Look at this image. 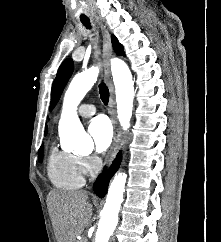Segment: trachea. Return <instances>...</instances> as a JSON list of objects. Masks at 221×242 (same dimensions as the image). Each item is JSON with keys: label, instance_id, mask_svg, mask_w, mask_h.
I'll return each instance as SVG.
<instances>
[{"label": "trachea", "instance_id": "obj_1", "mask_svg": "<svg viewBox=\"0 0 221 242\" xmlns=\"http://www.w3.org/2000/svg\"><path fill=\"white\" fill-rule=\"evenodd\" d=\"M81 22L83 23V25L90 29L91 26H90V21L89 19H81ZM99 94H100V98L102 100V102L107 105L108 104V101H109V90L107 88V86L105 85V83H101L99 85Z\"/></svg>", "mask_w": 221, "mask_h": 242}]
</instances>
